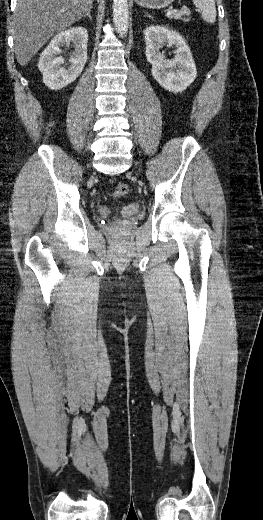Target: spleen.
Returning <instances> with one entry per match:
<instances>
[{
  "instance_id": "obj_1",
  "label": "spleen",
  "mask_w": 263,
  "mask_h": 520,
  "mask_svg": "<svg viewBox=\"0 0 263 520\" xmlns=\"http://www.w3.org/2000/svg\"><path fill=\"white\" fill-rule=\"evenodd\" d=\"M193 4L201 11L202 19L208 23L216 20V6L214 0H192Z\"/></svg>"
}]
</instances>
